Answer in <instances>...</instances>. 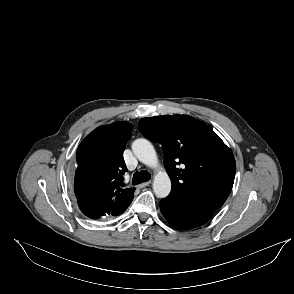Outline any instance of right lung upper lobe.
I'll list each match as a JSON object with an SVG mask.
<instances>
[{
    "label": "right lung upper lobe",
    "mask_w": 294,
    "mask_h": 294,
    "mask_svg": "<svg viewBox=\"0 0 294 294\" xmlns=\"http://www.w3.org/2000/svg\"><path fill=\"white\" fill-rule=\"evenodd\" d=\"M131 131L127 122L101 126L77 149L74 191L80 210L91 219L120 215L133 199L134 188H120L127 171L123 152Z\"/></svg>",
    "instance_id": "cb5924a9"
}]
</instances>
